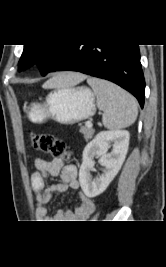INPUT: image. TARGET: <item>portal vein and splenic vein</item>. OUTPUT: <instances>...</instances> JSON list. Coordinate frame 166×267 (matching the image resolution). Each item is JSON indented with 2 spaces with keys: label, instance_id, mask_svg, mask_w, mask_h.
<instances>
[{
  "label": "portal vein and splenic vein",
  "instance_id": "obj_1",
  "mask_svg": "<svg viewBox=\"0 0 166 267\" xmlns=\"http://www.w3.org/2000/svg\"><path fill=\"white\" fill-rule=\"evenodd\" d=\"M86 127L91 128L92 127V122L91 121H87L86 122Z\"/></svg>",
  "mask_w": 166,
  "mask_h": 267
}]
</instances>
